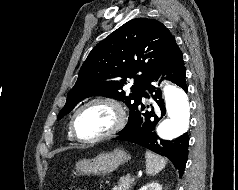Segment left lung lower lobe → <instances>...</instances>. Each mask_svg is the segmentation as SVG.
Masks as SVG:
<instances>
[{
  "label": "left lung lower lobe",
  "mask_w": 238,
  "mask_h": 190,
  "mask_svg": "<svg viewBox=\"0 0 238 190\" xmlns=\"http://www.w3.org/2000/svg\"><path fill=\"white\" fill-rule=\"evenodd\" d=\"M185 66L183 63V54L179 50L172 58L162 65L149 79L145 88L152 94L157 106L145 105L141 101L129 115V120L124 129L118 132L115 138L120 141H127L143 146L157 154H161L172 161L179 170L180 176L183 175L188 158L189 137L187 133L173 140L160 139L155 130L157 122L165 115V105L161 96V91L152 85L159 77H164L172 81L187 92L185 81ZM146 98L148 94L143 95ZM151 108V110H147Z\"/></svg>",
  "instance_id": "0a47b994"
}]
</instances>
